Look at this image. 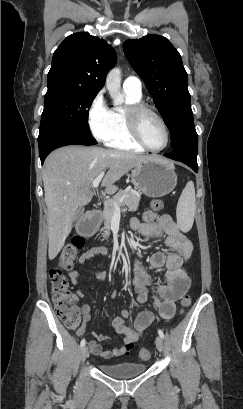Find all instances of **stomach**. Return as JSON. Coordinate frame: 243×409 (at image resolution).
<instances>
[{
  "label": "stomach",
  "instance_id": "1",
  "mask_svg": "<svg viewBox=\"0 0 243 409\" xmlns=\"http://www.w3.org/2000/svg\"><path fill=\"white\" fill-rule=\"evenodd\" d=\"M131 181L140 194L156 198L169 194L176 187L177 175L172 163L152 157L133 168Z\"/></svg>",
  "mask_w": 243,
  "mask_h": 409
}]
</instances>
